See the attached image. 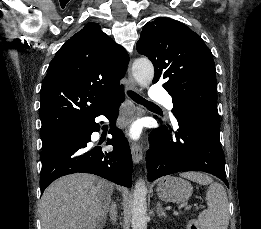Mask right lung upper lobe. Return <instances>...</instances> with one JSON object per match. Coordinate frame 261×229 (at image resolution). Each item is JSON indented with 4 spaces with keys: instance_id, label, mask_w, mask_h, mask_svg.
Here are the masks:
<instances>
[{
    "instance_id": "cb5924a9",
    "label": "right lung upper lobe",
    "mask_w": 261,
    "mask_h": 229,
    "mask_svg": "<svg viewBox=\"0 0 261 229\" xmlns=\"http://www.w3.org/2000/svg\"><path fill=\"white\" fill-rule=\"evenodd\" d=\"M129 62L125 49L89 23L52 59L40 93L41 131L59 138L88 125L114 97Z\"/></svg>"
}]
</instances>
